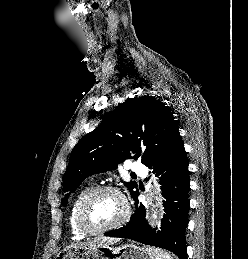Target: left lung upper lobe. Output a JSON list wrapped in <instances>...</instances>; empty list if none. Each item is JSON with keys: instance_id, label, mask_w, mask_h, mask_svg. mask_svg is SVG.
<instances>
[{"instance_id": "obj_1", "label": "left lung upper lobe", "mask_w": 248, "mask_h": 259, "mask_svg": "<svg viewBox=\"0 0 248 259\" xmlns=\"http://www.w3.org/2000/svg\"><path fill=\"white\" fill-rule=\"evenodd\" d=\"M173 113L152 96L129 99L94 131L76 144L64 174V192H74L89 175L106 172L126 159H139L147 167L181 141ZM131 194L134 181L124 183ZM69 193L62 204L68 203Z\"/></svg>"}]
</instances>
